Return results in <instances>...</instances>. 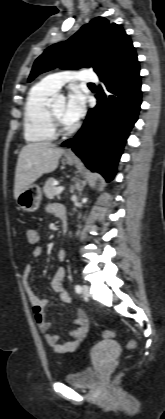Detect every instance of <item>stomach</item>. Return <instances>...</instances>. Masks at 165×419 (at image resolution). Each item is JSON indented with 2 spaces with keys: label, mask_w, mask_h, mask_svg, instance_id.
Masks as SVG:
<instances>
[{
  "label": "stomach",
  "mask_w": 165,
  "mask_h": 419,
  "mask_svg": "<svg viewBox=\"0 0 165 419\" xmlns=\"http://www.w3.org/2000/svg\"><path fill=\"white\" fill-rule=\"evenodd\" d=\"M66 163L73 165L75 163V159L67 157ZM41 199V188L36 184H31L19 193L16 198V203L26 212H35L40 206Z\"/></svg>",
  "instance_id": "1"
}]
</instances>
